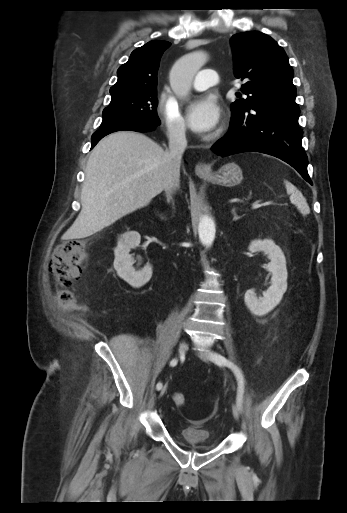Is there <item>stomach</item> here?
<instances>
[{
	"label": "stomach",
	"mask_w": 347,
	"mask_h": 513,
	"mask_svg": "<svg viewBox=\"0 0 347 513\" xmlns=\"http://www.w3.org/2000/svg\"><path fill=\"white\" fill-rule=\"evenodd\" d=\"M202 178L207 179L213 184L232 187L243 180V174L241 168L231 162L223 165L216 173Z\"/></svg>",
	"instance_id": "obj_1"
}]
</instances>
